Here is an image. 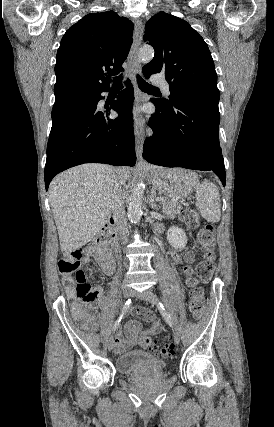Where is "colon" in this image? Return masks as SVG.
Here are the masks:
<instances>
[{
  "mask_svg": "<svg viewBox=\"0 0 274 427\" xmlns=\"http://www.w3.org/2000/svg\"><path fill=\"white\" fill-rule=\"evenodd\" d=\"M180 217L190 227H195L200 221L199 215L187 207L181 209ZM198 242L200 248H216L213 224L207 223L201 228L198 233ZM81 259L80 250H74L63 256L59 263V272L64 277V287L73 299L83 304L93 303L99 298L100 289L87 282ZM184 273L189 285L188 310L193 314L200 313L202 302L206 301V294L203 293V288L199 285L198 280H195V272L184 270ZM139 343L142 348L154 352L160 357H169L174 353V346L158 344L147 336L140 337Z\"/></svg>",
  "mask_w": 274,
  "mask_h": 427,
  "instance_id": "obj_1",
  "label": "colon"
}]
</instances>
